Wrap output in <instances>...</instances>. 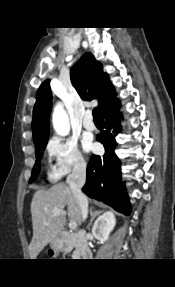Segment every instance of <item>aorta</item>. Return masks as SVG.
Instances as JSON below:
<instances>
[{"instance_id": "aorta-1", "label": "aorta", "mask_w": 175, "mask_h": 287, "mask_svg": "<svg viewBox=\"0 0 175 287\" xmlns=\"http://www.w3.org/2000/svg\"><path fill=\"white\" fill-rule=\"evenodd\" d=\"M52 122L55 132L60 136H66L70 131L68 115L63 104L58 103L53 111Z\"/></svg>"}]
</instances>
